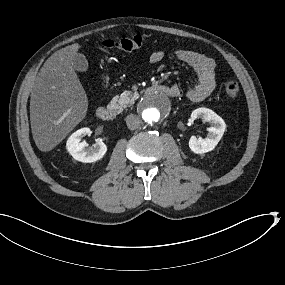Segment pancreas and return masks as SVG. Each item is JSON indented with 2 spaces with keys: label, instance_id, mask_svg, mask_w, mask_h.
<instances>
[{
  "label": "pancreas",
  "instance_id": "obj_1",
  "mask_svg": "<svg viewBox=\"0 0 285 285\" xmlns=\"http://www.w3.org/2000/svg\"><path fill=\"white\" fill-rule=\"evenodd\" d=\"M139 93L136 90L125 91L124 94L118 93L115 98L108 102L107 107L109 110L114 111L116 114L120 113L123 109L127 108L132 102L138 99Z\"/></svg>",
  "mask_w": 285,
  "mask_h": 285
}]
</instances>
